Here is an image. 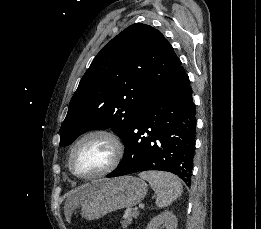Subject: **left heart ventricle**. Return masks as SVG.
<instances>
[{
  "instance_id": "left-heart-ventricle-1",
  "label": "left heart ventricle",
  "mask_w": 261,
  "mask_h": 229,
  "mask_svg": "<svg viewBox=\"0 0 261 229\" xmlns=\"http://www.w3.org/2000/svg\"><path fill=\"white\" fill-rule=\"evenodd\" d=\"M112 148L102 138H92L83 142L75 151L73 165L84 174H92L104 169L111 161Z\"/></svg>"
}]
</instances>
